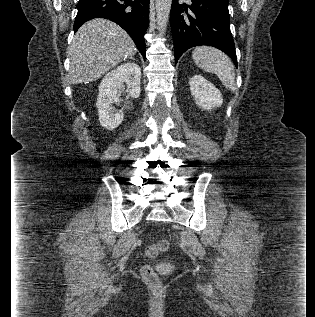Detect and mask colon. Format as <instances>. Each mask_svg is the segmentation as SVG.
<instances>
[{
    "instance_id": "1",
    "label": "colon",
    "mask_w": 315,
    "mask_h": 317,
    "mask_svg": "<svg viewBox=\"0 0 315 317\" xmlns=\"http://www.w3.org/2000/svg\"><path fill=\"white\" fill-rule=\"evenodd\" d=\"M167 248L168 241L166 239H161L157 243L148 245L146 248V254L149 257H156L159 253L166 251ZM142 276L151 285L156 287L160 285L159 277L152 266H144L142 268Z\"/></svg>"
}]
</instances>
